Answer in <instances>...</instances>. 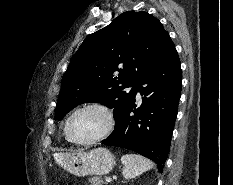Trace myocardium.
<instances>
[{
  "instance_id": "myocardium-1",
  "label": "myocardium",
  "mask_w": 233,
  "mask_h": 185,
  "mask_svg": "<svg viewBox=\"0 0 233 185\" xmlns=\"http://www.w3.org/2000/svg\"><path fill=\"white\" fill-rule=\"evenodd\" d=\"M88 109H97L103 112L107 118V125L105 129L99 135L93 138L87 139V140H77L76 138L72 136L71 131H70L71 120L77 113L84 111V110H88ZM114 126H115V118H114L113 112L111 111L109 107L101 103H89V104H86V105H83L77 108L69 115V117L66 120V124H65V133L68 139L72 143H75L78 145H91V144H95V143H98L106 139L114 130Z\"/></svg>"
}]
</instances>
